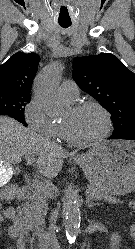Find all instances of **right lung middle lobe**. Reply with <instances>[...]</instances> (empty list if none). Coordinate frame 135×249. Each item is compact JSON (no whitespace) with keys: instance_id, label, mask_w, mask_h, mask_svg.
<instances>
[{"instance_id":"1","label":"right lung middle lobe","mask_w":135,"mask_h":249,"mask_svg":"<svg viewBox=\"0 0 135 249\" xmlns=\"http://www.w3.org/2000/svg\"><path fill=\"white\" fill-rule=\"evenodd\" d=\"M30 99V94L0 92V115L14 117L27 125L24 120V110Z\"/></svg>"}]
</instances>
